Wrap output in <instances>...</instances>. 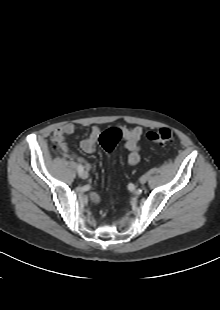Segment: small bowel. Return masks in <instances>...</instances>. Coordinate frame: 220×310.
I'll return each mask as SVG.
<instances>
[{
	"label": "small bowel",
	"mask_w": 220,
	"mask_h": 310,
	"mask_svg": "<svg viewBox=\"0 0 220 310\" xmlns=\"http://www.w3.org/2000/svg\"><path fill=\"white\" fill-rule=\"evenodd\" d=\"M125 140L124 148L128 151L127 162L129 165H136L140 161V140L143 135V129L140 126L135 127H121L120 128ZM75 132V126L71 123L65 124L57 128L52 136V140L57 148L66 156L75 157L73 153L69 151L66 137ZM101 134L99 127L94 126L88 136L80 142V148L85 153H92L95 150L97 141ZM79 162L83 163L86 170H90L91 166L84 159L78 157ZM94 203L100 201V197L96 193H92L90 196Z\"/></svg>",
	"instance_id": "1"
}]
</instances>
